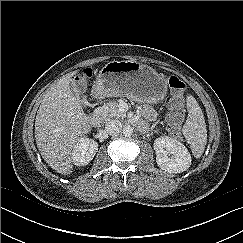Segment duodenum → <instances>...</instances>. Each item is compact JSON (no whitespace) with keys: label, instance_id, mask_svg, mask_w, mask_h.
I'll use <instances>...</instances> for the list:
<instances>
[{"label":"duodenum","instance_id":"obj_1","mask_svg":"<svg viewBox=\"0 0 243 243\" xmlns=\"http://www.w3.org/2000/svg\"><path fill=\"white\" fill-rule=\"evenodd\" d=\"M89 121L93 126H99L102 122V115L99 111L93 110L89 114ZM140 127L143 128V125L140 124Z\"/></svg>","mask_w":243,"mask_h":243}]
</instances>
